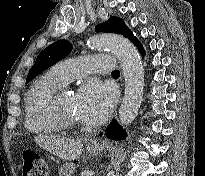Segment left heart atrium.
Segmentation results:
<instances>
[{"instance_id": "39dd6f15", "label": "left heart atrium", "mask_w": 205, "mask_h": 176, "mask_svg": "<svg viewBox=\"0 0 205 176\" xmlns=\"http://www.w3.org/2000/svg\"><path fill=\"white\" fill-rule=\"evenodd\" d=\"M114 102V90L96 79L87 80L76 94L77 112L82 120L89 123L103 121Z\"/></svg>"}]
</instances>
